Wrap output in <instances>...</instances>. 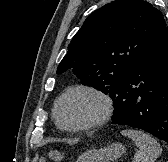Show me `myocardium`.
<instances>
[{
    "label": "myocardium",
    "instance_id": "obj_1",
    "mask_svg": "<svg viewBox=\"0 0 168 162\" xmlns=\"http://www.w3.org/2000/svg\"><path fill=\"white\" fill-rule=\"evenodd\" d=\"M76 93H85L93 96L95 99L99 101L101 105V110H100V113L95 118H93L92 120L86 123L76 125V126H67V125H64L60 120L59 107L61 103L64 101V99ZM112 110H113L112 100L105 92L88 85H77L67 89L58 97L53 107V116L56 124L60 129L69 131V132H81V131L94 129L96 127H99L105 124L110 118L112 114Z\"/></svg>",
    "mask_w": 168,
    "mask_h": 162
}]
</instances>
